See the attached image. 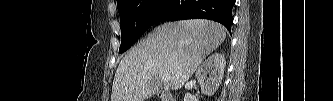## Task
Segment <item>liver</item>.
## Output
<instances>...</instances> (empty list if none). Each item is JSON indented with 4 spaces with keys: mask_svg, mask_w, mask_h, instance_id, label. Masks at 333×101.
I'll return each instance as SVG.
<instances>
[{
    "mask_svg": "<svg viewBox=\"0 0 333 101\" xmlns=\"http://www.w3.org/2000/svg\"><path fill=\"white\" fill-rule=\"evenodd\" d=\"M225 38L226 29L210 20L158 26L119 63L111 101H144L159 91L164 75L171 77V89H180Z\"/></svg>",
    "mask_w": 333,
    "mask_h": 101,
    "instance_id": "1",
    "label": "liver"
}]
</instances>
